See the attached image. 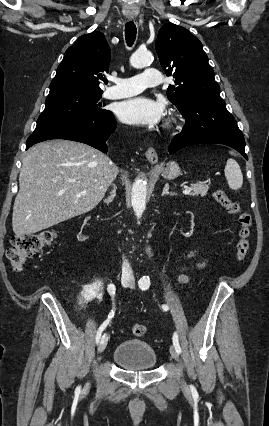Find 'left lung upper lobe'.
Here are the masks:
<instances>
[{
	"mask_svg": "<svg viewBox=\"0 0 269 426\" xmlns=\"http://www.w3.org/2000/svg\"><path fill=\"white\" fill-rule=\"evenodd\" d=\"M156 51L166 74L175 78L167 96L179 111L201 98H221L202 43L187 29L173 23L162 26Z\"/></svg>",
	"mask_w": 269,
	"mask_h": 426,
	"instance_id": "obj_1",
	"label": "left lung upper lobe"
}]
</instances>
